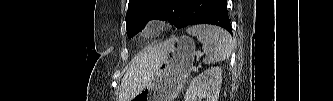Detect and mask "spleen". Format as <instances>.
Returning <instances> with one entry per match:
<instances>
[{
  "mask_svg": "<svg viewBox=\"0 0 333 101\" xmlns=\"http://www.w3.org/2000/svg\"><path fill=\"white\" fill-rule=\"evenodd\" d=\"M187 32L202 43L206 55L203 60L205 64L224 61L230 56L233 48L232 37L224 29L212 25H196L188 28Z\"/></svg>",
  "mask_w": 333,
  "mask_h": 101,
  "instance_id": "spleen-1",
  "label": "spleen"
}]
</instances>
